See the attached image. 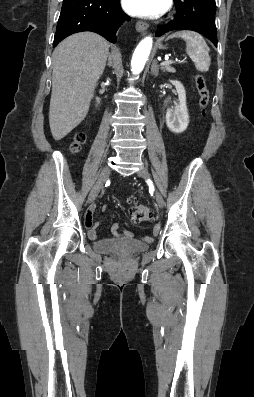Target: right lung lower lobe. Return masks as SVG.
I'll list each match as a JSON object with an SVG mask.
<instances>
[{
	"mask_svg": "<svg viewBox=\"0 0 254 397\" xmlns=\"http://www.w3.org/2000/svg\"><path fill=\"white\" fill-rule=\"evenodd\" d=\"M129 20L119 0H63L53 47L67 36L81 31L96 32L115 43L117 30Z\"/></svg>",
	"mask_w": 254,
	"mask_h": 397,
	"instance_id": "obj_1",
	"label": "right lung lower lobe"
}]
</instances>
